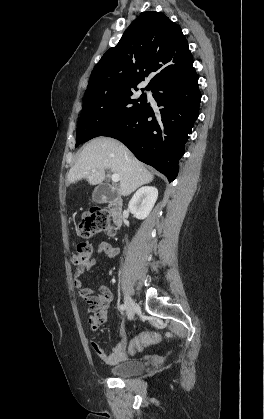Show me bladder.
<instances>
[{
	"label": "bladder",
	"mask_w": 264,
	"mask_h": 419,
	"mask_svg": "<svg viewBox=\"0 0 264 419\" xmlns=\"http://www.w3.org/2000/svg\"><path fill=\"white\" fill-rule=\"evenodd\" d=\"M146 368L144 362L140 360H127L109 370V373L117 378H127L141 374Z\"/></svg>",
	"instance_id": "bladder-1"
}]
</instances>
